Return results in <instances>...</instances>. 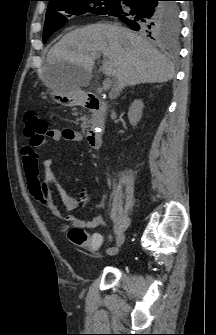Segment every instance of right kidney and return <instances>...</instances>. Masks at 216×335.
Returning a JSON list of instances; mask_svg holds the SVG:
<instances>
[{"label": "right kidney", "instance_id": "ca27d5eb", "mask_svg": "<svg viewBox=\"0 0 216 335\" xmlns=\"http://www.w3.org/2000/svg\"><path fill=\"white\" fill-rule=\"evenodd\" d=\"M144 104L141 99L134 100L128 110V119L132 126H136L142 117Z\"/></svg>", "mask_w": 216, "mask_h": 335}]
</instances>
